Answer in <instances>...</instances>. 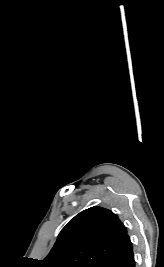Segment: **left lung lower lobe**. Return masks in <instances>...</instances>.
Instances as JSON below:
<instances>
[{
    "label": "left lung lower lobe",
    "instance_id": "1",
    "mask_svg": "<svg viewBox=\"0 0 164 267\" xmlns=\"http://www.w3.org/2000/svg\"><path fill=\"white\" fill-rule=\"evenodd\" d=\"M102 267H135L132 243L127 233Z\"/></svg>",
    "mask_w": 164,
    "mask_h": 267
}]
</instances>
